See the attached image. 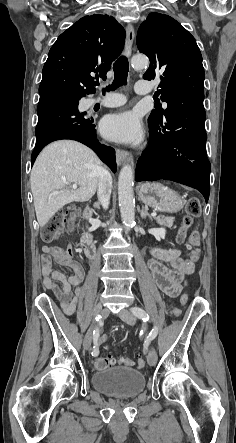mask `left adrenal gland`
Wrapping results in <instances>:
<instances>
[{"label":"left adrenal gland","mask_w":236,"mask_h":443,"mask_svg":"<svg viewBox=\"0 0 236 443\" xmlns=\"http://www.w3.org/2000/svg\"><path fill=\"white\" fill-rule=\"evenodd\" d=\"M140 216L142 219L148 217L151 221H152V217L149 215V213L144 209V207H142Z\"/></svg>","instance_id":"1"}]
</instances>
